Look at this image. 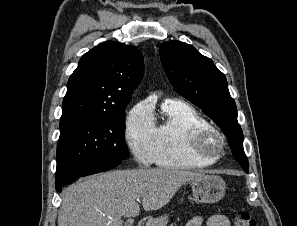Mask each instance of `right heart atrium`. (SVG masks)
<instances>
[{
	"label": "right heart atrium",
	"instance_id": "obj_1",
	"mask_svg": "<svg viewBox=\"0 0 297 226\" xmlns=\"http://www.w3.org/2000/svg\"><path fill=\"white\" fill-rule=\"evenodd\" d=\"M125 142L135 160L144 166L155 161L156 132L153 114L148 105L139 102L126 117Z\"/></svg>",
	"mask_w": 297,
	"mask_h": 226
}]
</instances>
